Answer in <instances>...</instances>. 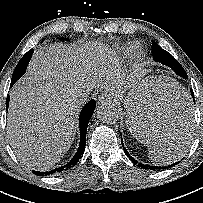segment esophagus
Wrapping results in <instances>:
<instances>
[{"label":"esophagus","instance_id":"obj_1","mask_svg":"<svg viewBox=\"0 0 203 203\" xmlns=\"http://www.w3.org/2000/svg\"><path fill=\"white\" fill-rule=\"evenodd\" d=\"M97 102L100 105L108 104L111 102V98L108 94L103 93V94L98 96Z\"/></svg>","mask_w":203,"mask_h":203}]
</instances>
